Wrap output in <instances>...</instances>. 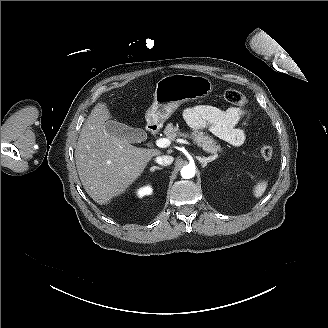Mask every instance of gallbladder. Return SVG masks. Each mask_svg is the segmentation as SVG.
Here are the masks:
<instances>
[{"label": "gallbladder", "instance_id": "1", "mask_svg": "<svg viewBox=\"0 0 328 328\" xmlns=\"http://www.w3.org/2000/svg\"><path fill=\"white\" fill-rule=\"evenodd\" d=\"M105 133L130 143H140L148 138L147 132L141 128H132L126 124L109 120L105 123Z\"/></svg>", "mask_w": 328, "mask_h": 328}]
</instances>
